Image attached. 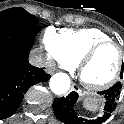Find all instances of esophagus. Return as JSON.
Instances as JSON below:
<instances>
[{
  "label": "esophagus",
  "instance_id": "esophagus-1",
  "mask_svg": "<svg viewBox=\"0 0 124 124\" xmlns=\"http://www.w3.org/2000/svg\"><path fill=\"white\" fill-rule=\"evenodd\" d=\"M48 70H49L50 72L53 73L56 69H55L54 67H49ZM71 91H76L78 94L81 93V90H80L79 87L76 86V85H72V87H71Z\"/></svg>",
  "mask_w": 124,
  "mask_h": 124
}]
</instances>
